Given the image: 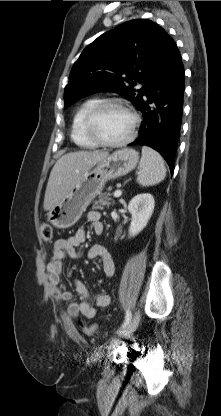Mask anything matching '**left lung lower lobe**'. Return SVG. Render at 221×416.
Instances as JSON below:
<instances>
[{"mask_svg":"<svg viewBox=\"0 0 221 416\" xmlns=\"http://www.w3.org/2000/svg\"><path fill=\"white\" fill-rule=\"evenodd\" d=\"M184 68L174 40L167 34L149 75L138 109L143 113L139 137L130 145H147L167 161L171 174L180 134Z\"/></svg>","mask_w":221,"mask_h":416,"instance_id":"1","label":"left lung lower lobe"}]
</instances>
